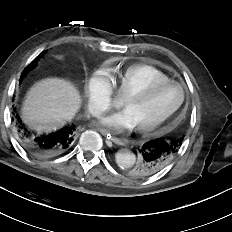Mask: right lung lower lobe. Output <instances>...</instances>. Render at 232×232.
<instances>
[{"label": "right lung lower lobe", "mask_w": 232, "mask_h": 232, "mask_svg": "<svg viewBox=\"0 0 232 232\" xmlns=\"http://www.w3.org/2000/svg\"><path fill=\"white\" fill-rule=\"evenodd\" d=\"M16 133L22 147L31 155L41 159L59 156L68 151L74 140L75 126L67 125L50 134H39L29 131L22 124L18 115Z\"/></svg>", "instance_id": "1"}]
</instances>
